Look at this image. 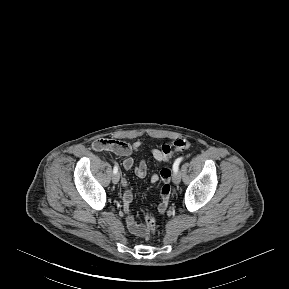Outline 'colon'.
I'll list each match as a JSON object with an SVG mask.
<instances>
[{
    "label": "colon",
    "mask_w": 289,
    "mask_h": 289,
    "mask_svg": "<svg viewBox=\"0 0 289 289\" xmlns=\"http://www.w3.org/2000/svg\"><path fill=\"white\" fill-rule=\"evenodd\" d=\"M190 145H191L190 141L185 138L176 139L171 144H164L160 148L161 156L164 161H168L174 152L186 150L190 147ZM145 228H146L147 237L154 235L155 228H156L155 220L150 214H146L145 216Z\"/></svg>",
    "instance_id": "colon-1"
}]
</instances>
